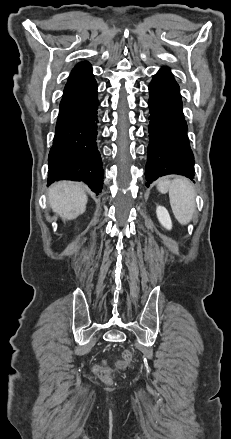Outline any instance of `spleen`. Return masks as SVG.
Listing matches in <instances>:
<instances>
[{
	"mask_svg": "<svg viewBox=\"0 0 231 439\" xmlns=\"http://www.w3.org/2000/svg\"><path fill=\"white\" fill-rule=\"evenodd\" d=\"M159 192L169 193L172 211L180 224H187L195 212V191L188 179H162L157 184Z\"/></svg>",
	"mask_w": 231,
	"mask_h": 439,
	"instance_id": "obj_1",
	"label": "spleen"
}]
</instances>
